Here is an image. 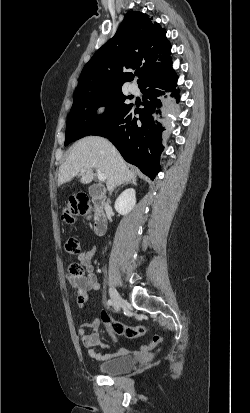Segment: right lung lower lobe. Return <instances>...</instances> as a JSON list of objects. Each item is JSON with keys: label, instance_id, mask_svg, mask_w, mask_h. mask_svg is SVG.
<instances>
[{"label": "right lung lower lobe", "instance_id": "obj_1", "mask_svg": "<svg viewBox=\"0 0 250 413\" xmlns=\"http://www.w3.org/2000/svg\"><path fill=\"white\" fill-rule=\"evenodd\" d=\"M176 81L172 69L147 78L139 85L144 93V108L130 104L109 123L91 134L108 138L127 162L136 165L152 180L160 171L159 159L163 149L161 135L165 130L159 110L162 106L160 97L171 91L178 102ZM135 114H139V117L136 118Z\"/></svg>", "mask_w": 250, "mask_h": 413}]
</instances>
